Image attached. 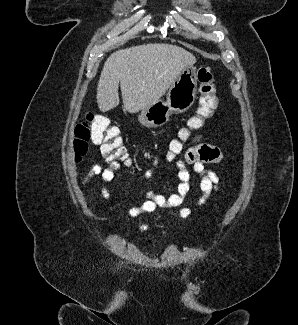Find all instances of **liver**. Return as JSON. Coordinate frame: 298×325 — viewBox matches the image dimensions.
I'll list each match as a JSON object with an SVG mask.
<instances>
[{
	"mask_svg": "<svg viewBox=\"0 0 298 325\" xmlns=\"http://www.w3.org/2000/svg\"><path fill=\"white\" fill-rule=\"evenodd\" d=\"M196 56L177 44L148 42L112 52L105 60L99 76L96 102L107 112L122 102L127 112H139L158 102L175 78Z\"/></svg>",
	"mask_w": 298,
	"mask_h": 325,
	"instance_id": "1",
	"label": "liver"
}]
</instances>
